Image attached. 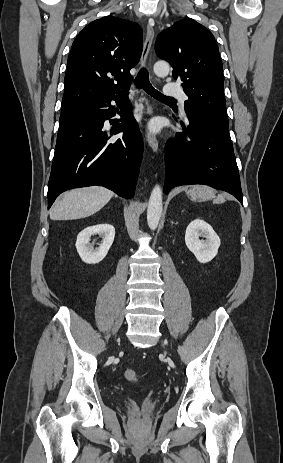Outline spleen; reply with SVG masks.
I'll use <instances>...</instances> for the list:
<instances>
[{"label": "spleen", "mask_w": 283, "mask_h": 463, "mask_svg": "<svg viewBox=\"0 0 283 463\" xmlns=\"http://www.w3.org/2000/svg\"><path fill=\"white\" fill-rule=\"evenodd\" d=\"M205 187H207V186H205ZM209 188H210V187H209ZM210 189H211V188H210ZM209 195H210V196H209L208 199L213 198V197L215 196V191H214L213 189H211L210 192H209ZM224 200H225V197H224V195H222V194H220V195L217 197V201H224Z\"/></svg>", "instance_id": "1"}]
</instances>
